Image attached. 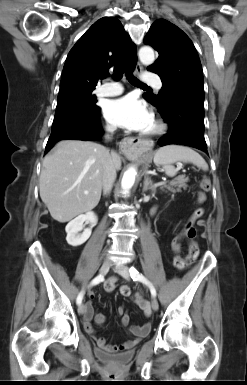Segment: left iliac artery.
Instances as JSON below:
<instances>
[{
	"mask_svg": "<svg viewBox=\"0 0 247 385\" xmlns=\"http://www.w3.org/2000/svg\"><path fill=\"white\" fill-rule=\"evenodd\" d=\"M130 274L134 281H140L143 284L147 285L150 289L152 296H156V289L143 274L139 273L134 267H131Z\"/></svg>",
	"mask_w": 247,
	"mask_h": 385,
	"instance_id": "44dca946",
	"label": "left iliac artery"
}]
</instances>
